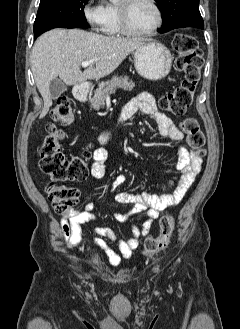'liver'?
Masks as SVG:
<instances>
[{
	"instance_id": "obj_1",
	"label": "liver",
	"mask_w": 240,
	"mask_h": 329,
	"mask_svg": "<svg viewBox=\"0 0 240 329\" xmlns=\"http://www.w3.org/2000/svg\"><path fill=\"white\" fill-rule=\"evenodd\" d=\"M143 39L103 36L79 29H53L35 42L31 55V69L36 86L43 97L40 118L52 105L49 84L59 78L66 85L84 84L112 73L122 61L140 47ZM93 61L83 72L80 65Z\"/></svg>"
}]
</instances>
